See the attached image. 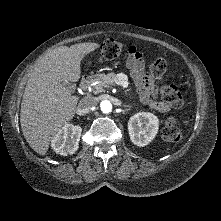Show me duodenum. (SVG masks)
<instances>
[{
    "mask_svg": "<svg viewBox=\"0 0 221 221\" xmlns=\"http://www.w3.org/2000/svg\"><path fill=\"white\" fill-rule=\"evenodd\" d=\"M95 79V75H85L83 76V78L80 81V90L82 92H86L88 90V88L90 87V85L92 84V82Z\"/></svg>",
    "mask_w": 221,
    "mask_h": 221,
    "instance_id": "duodenum-1",
    "label": "duodenum"
}]
</instances>
